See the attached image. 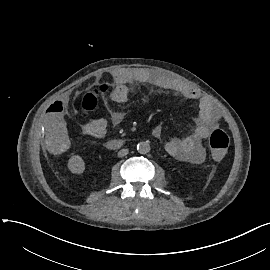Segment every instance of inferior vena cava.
<instances>
[{
    "label": "inferior vena cava",
    "mask_w": 270,
    "mask_h": 270,
    "mask_svg": "<svg viewBox=\"0 0 270 270\" xmlns=\"http://www.w3.org/2000/svg\"><path fill=\"white\" fill-rule=\"evenodd\" d=\"M128 154V149H121L119 152H118V157H124Z\"/></svg>",
    "instance_id": "602c4592"
}]
</instances>
